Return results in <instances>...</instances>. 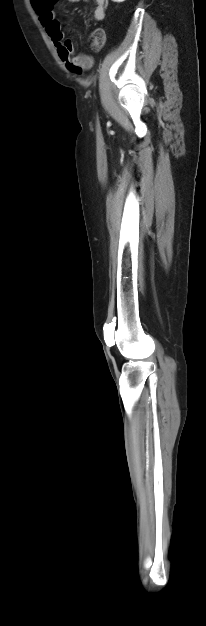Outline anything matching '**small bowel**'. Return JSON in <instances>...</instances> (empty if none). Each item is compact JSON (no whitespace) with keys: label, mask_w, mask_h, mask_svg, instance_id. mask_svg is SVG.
<instances>
[{"label":"small bowel","mask_w":206,"mask_h":626,"mask_svg":"<svg viewBox=\"0 0 206 626\" xmlns=\"http://www.w3.org/2000/svg\"><path fill=\"white\" fill-rule=\"evenodd\" d=\"M69 1L76 2L78 0ZM94 1L96 6L93 11V18L96 21H103L106 15V0ZM31 2L39 15L42 26L45 28L46 33L57 50L59 58L65 64L66 68L76 74L91 68L93 58L86 53L75 54L71 41L65 38L60 23L53 12L54 0H31Z\"/></svg>","instance_id":"obj_1"}]
</instances>
